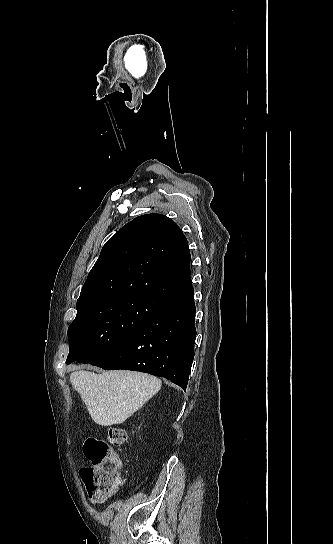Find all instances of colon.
Masks as SVG:
<instances>
[{
	"mask_svg": "<svg viewBox=\"0 0 333 544\" xmlns=\"http://www.w3.org/2000/svg\"><path fill=\"white\" fill-rule=\"evenodd\" d=\"M126 441V432L119 427H109L107 439L88 438L83 447L89 467L80 470V477L88 492L110 490L121 483L122 460L115 450Z\"/></svg>",
	"mask_w": 333,
	"mask_h": 544,
	"instance_id": "1",
	"label": "colon"
}]
</instances>
